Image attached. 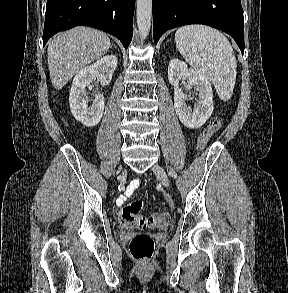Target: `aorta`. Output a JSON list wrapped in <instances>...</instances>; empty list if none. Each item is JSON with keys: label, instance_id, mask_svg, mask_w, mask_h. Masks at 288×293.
<instances>
[{"label": "aorta", "instance_id": "762f6f07", "mask_svg": "<svg viewBox=\"0 0 288 293\" xmlns=\"http://www.w3.org/2000/svg\"><path fill=\"white\" fill-rule=\"evenodd\" d=\"M137 26L141 40H145L151 28L152 0H136Z\"/></svg>", "mask_w": 288, "mask_h": 293}]
</instances>
